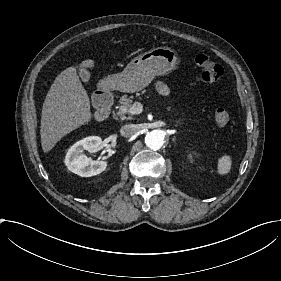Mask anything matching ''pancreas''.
<instances>
[{
  "mask_svg": "<svg viewBox=\"0 0 281 281\" xmlns=\"http://www.w3.org/2000/svg\"><path fill=\"white\" fill-rule=\"evenodd\" d=\"M132 100L129 99L127 94H123V96L119 100L118 111L116 112V120H135L133 113L130 110Z\"/></svg>",
  "mask_w": 281,
  "mask_h": 281,
  "instance_id": "pancreas-1",
  "label": "pancreas"
}]
</instances>
